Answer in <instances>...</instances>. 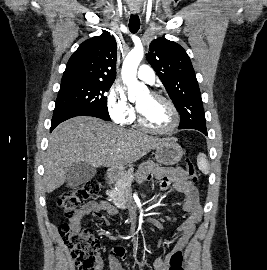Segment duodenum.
I'll list each match as a JSON object with an SVG mask.
<instances>
[{
  "mask_svg": "<svg viewBox=\"0 0 267 270\" xmlns=\"http://www.w3.org/2000/svg\"><path fill=\"white\" fill-rule=\"evenodd\" d=\"M114 176V171L112 169H108L105 173V179L107 181L111 180Z\"/></svg>",
  "mask_w": 267,
  "mask_h": 270,
  "instance_id": "obj_1",
  "label": "duodenum"
}]
</instances>
